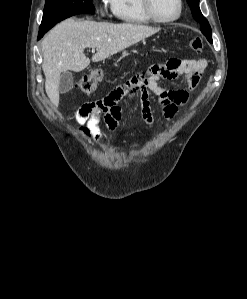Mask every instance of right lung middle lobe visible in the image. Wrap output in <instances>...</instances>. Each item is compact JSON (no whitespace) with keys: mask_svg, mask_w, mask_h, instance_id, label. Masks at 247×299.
Here are the masks:
<instances>
[{"mask_svg":"<svg viewBox=\"0 0 247 299\" xmlns=\"http://www.w3.org/2000/svg\"><path fill=\"white\" fill-rule=\"evenodd\" d=\"M92 0H46L38 38L56 23L77 14H94Z\"/></svg>","mask_w":247,"mask_h":299,"instance_id":"dd1d6c3e","label":"right lung middle lobe"}]
</instances>
